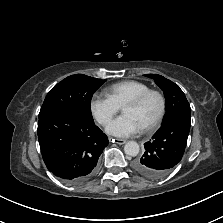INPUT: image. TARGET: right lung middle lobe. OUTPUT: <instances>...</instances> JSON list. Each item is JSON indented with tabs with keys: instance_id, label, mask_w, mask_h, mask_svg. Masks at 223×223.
<instances>
[{
	"instance_id": "right-lung-middle-lobe-1",
	"label": "right lung middle lobe",
	"mask_w": 223,
	"mask_h": 223,
	"mask_svg": "<svg viewBox=\"0 0 223 223\" xmlns=\"http://www.w3.org/2000/svg\"><path fill=\"white\" fill-rule=\"evenodd\" d=\"M105 81L84 74H75L65 78L47 94L41 107L39 118L59 109H74L93 119L91 99L94 92Z\"/></svg>"
}]
</instances>
